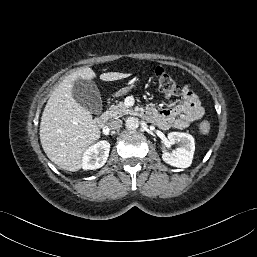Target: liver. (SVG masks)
<instances>
[{
  "label": "liver",
  "instance_id": "liver-1",
  "mask_svg": "<svg viewBox=\"0 0 257 257\" xmlns=\"http://www.w3.org/2000/svg\"><path fill=\"white\" fill-rule=\"evenodd\" d=\"M130 73L107 72L100 75L103 81L129 77ZM96 77L89 68L68 75L53 91L47 101L40 123V141L47 157L59 168L78 171L86 149L100 136V128L91 113L74 99L72 89L77 79Z\"/></svg>",
  "mask_w": 257,
  "mask_h": 257
}]
</instances>
